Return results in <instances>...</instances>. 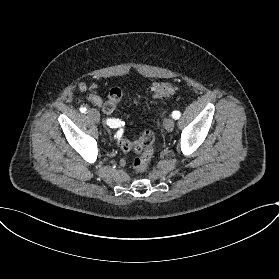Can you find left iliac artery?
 <instances>
[{
  "label": "left iliac artery",
  "mask_w": 279,
  "mask_h": 279,
  "mask_svg": "<svg viewBox=\"0 0 279 279\" xmlns=\"http://www.w3.org/2000/svg\"><path fill=\"white\" fill-rule=\"evenodd\" d=\"M180 112L179 111H173L172 112V117L176 120L180 118Z\"/></svg>",
  "instance_id": "1"
}]
</instances>
